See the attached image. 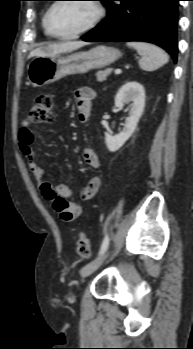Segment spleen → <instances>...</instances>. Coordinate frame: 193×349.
<instances>
[{"label": "spleen", "instance_id": "obj_1", "mask_svg": "<svg viewBox=\"0 0 193 349\" xmlns=\"http://www.w3.org/2000/svg\"><path fill=\"white\" fill-rule=\"evenodd\" d=\"M127 46L137 50L142 57L139 60V66L145 71L156 70L169 61L167 53L156 45L145 42H128Z\"/></svg>", "mask_w": 193, "mask_h": 349}]
</instances>
